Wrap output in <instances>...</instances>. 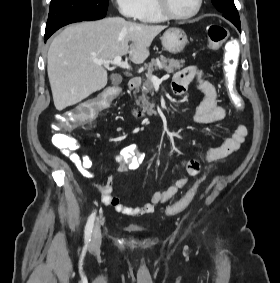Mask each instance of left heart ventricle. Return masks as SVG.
Returning <instances> with one entry per match:
<instances>
[{
	"instance_id": "1",
	"label": "left heart ventricle",
	"mask_w": 280,
	"mask_h": 283,
	"mask_svg": "<svg viewBox=\"0 0 280 283\" xmlns=\"http://www.w3.org/2000/svg\"><path fill=\"white\" fill-rule=\"evenodd\" d=\"M170 10L179 15L187 14L196 7L197 0H166Z\"/></svg>"
}]
</instances>
